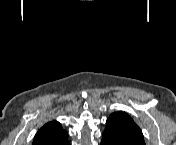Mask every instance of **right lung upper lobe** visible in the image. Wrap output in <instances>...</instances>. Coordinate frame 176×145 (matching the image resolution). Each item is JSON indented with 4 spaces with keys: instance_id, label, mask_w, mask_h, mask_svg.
Listing matches in <instances>:
<instances>
[{
    "instance_id": "obj_1",
    "label": "right lung upper lobe",
    "mask_w": 176,
    "mask_h": 145,
    "mask_svg": "<svg viewBox=\"0 0 176 145\" xmlns=\"http://www.w3.org/2000/svg\"><path fill=\"white\" fill-rule=\"evenodd\" d=\"M68 134L63 130L61 124L52 121L39 129L34 137L32 145H68Z\"/></svg>"
}]
</instances>
